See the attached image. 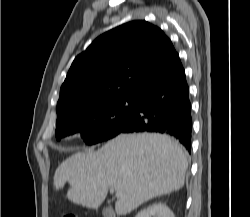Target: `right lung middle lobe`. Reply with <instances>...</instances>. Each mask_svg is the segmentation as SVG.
<instances>
[{
  "label": "right lung middle lobe",
  "mask_w": 250,
  "mask_h": 217,
  "mask_svg": "<svg viewBox=\"0 0 250 217\" xmlns=\"http://www.w3.org/2000/svg\"><path fill=\"white\" fill-rule=\"evenodd\" d=\"M132 98L107 101L81 110L56 123V138L80 135L92 145L118 135L133 116Z\"/></svg>",
  "instance_id": "right-lung-middle-lobe-1"
}]
</instances>
